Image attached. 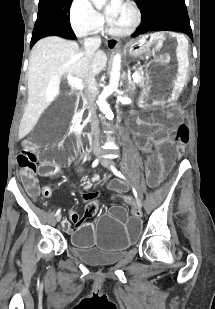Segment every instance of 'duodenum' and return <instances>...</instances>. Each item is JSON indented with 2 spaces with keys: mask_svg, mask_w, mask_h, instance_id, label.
Here are the masks:
<instances>
[{
  "mask_svg": "<svg viewBox=\"0 0 215 309\" xmlns=\"http://www.w3.org/2000/svg\"><path fill=\"white\" fill-rule=\"evenodd\" d=\"M72 127L75 132H79L81 129L80 120L79 119L75 120L72 124ZM84 142L87 149H89L93 145L89 139H85Z\"/></svg>",
  "mask_w": 215,
  "mask_h": 309,
  "instance_id": "obj_1",
  "label": "duodenum"
}]
</instances>
